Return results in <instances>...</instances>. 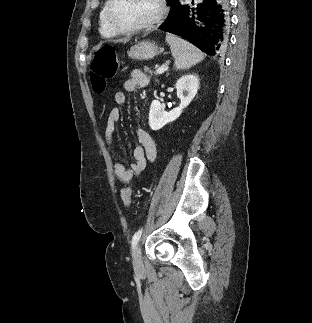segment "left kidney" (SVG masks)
Returning <instances> with one entry per match:
<instances>
[{"mask_svg":"<svg viewBox=\"0 0 312 323\" xmlns=\"http://www.w3.org/2000/svg\"><path fill=\"white\" fill-rule=\"evenodd\" d=\"M177 96L180 100L178 108H173L171 112H165V106H162L158 100H153L149 112V126L151 130H160L169 122H174L182 114V110L189 106L197 94L199 88L198 76L188 74L179 78L177 84Z\"/></svg>","mask_w":312,"mask_h":323,"instance_id":"left-kidney-1","label":"left kidney"}]
</instances>
